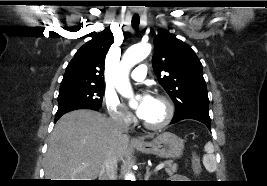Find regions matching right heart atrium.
I'll return each mask as SVG.
<instances>
[{
  "instance_id": "obj_1",
  "label": "right heart atrium",
  "mask_w": 267,
  "mask_h": 186,
  "mask_svg": "<svg viewBox=\"0 0 267 186\" xmlns=\"http://www.w3.org/2000/svg\"><path fill=\"white\" fill-rule=\"evenodd\" d=\"M103 103L111 119L122 124L131 123L132 115L121 103L116 93L107 90L103 96Z\"/></svg>"
}]
</instances>
